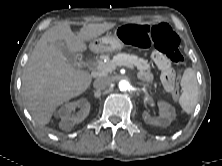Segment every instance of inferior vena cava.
Masks as SVG:
<instances>
[{
	"instance_id": "obj_1",
	"label": "inferior vena cava",
	"mask_w": 222,
	"mask_h": 166,
	"mask_svg": "<svg viewBox=\"0 0 222 166\" xmlns=\"http://www.w3.org/2000/svg\"><path fill=\"white\" fill-rule=\"evenodd\" d=\"M111 83H112V81L110 78L101 77V78H97L94 81L93 86H94V88H96L98 90H105L111 85Z\"/></svg>"
}]
</instances>
